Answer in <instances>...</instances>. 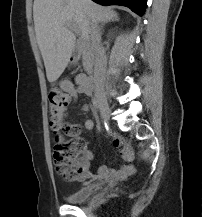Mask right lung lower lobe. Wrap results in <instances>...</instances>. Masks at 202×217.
<instances>
[{
	"mask_svg": "<svg viewBox=\"0 0 202 217\" xmlns=\"http://www.w3.org/2000/svg\"><path fill=\"white\" fill-rule=\"evenodd\" d=\"M102 5H122L130 8L139 16L144 14L146 0H93Z\"/></svg>",
	"mask_w": 202,
	"mask_h": 217,
	"instance_id": "1",
	"label": "right lung lower lobe"
}]
</instances>
